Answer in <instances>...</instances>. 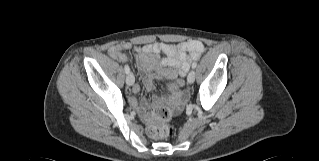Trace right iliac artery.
Returning a JSON list of instances; mask_svg holds the SVG:
<instances>
[{"label": "right iliac artery", "mask_w": 319, "mask_h": 161, "mask_svg": "<svg viewBox=\"0 0 319 161\" xmlns=\"http://www.w3.org/2000/svg\"><path fill=\"white\" fill-rule=\"evenodd\" d=\"M124 70H125V73L128 74L130 72L129 66L125 65Z\"/></svg>", "instance_id": "right-iliac-artery-1"}]
</instances>
